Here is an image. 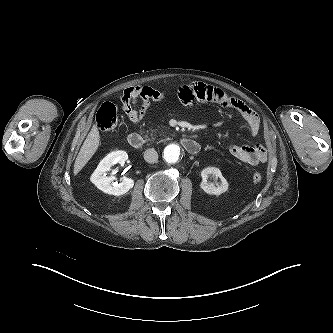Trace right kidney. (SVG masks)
<instances>
[{
	"instance_id": "ca27d5eb",
	"label": "right kidney",
	"mask_w": 333,
	"mask_h": 333,
	"mask_svg": "<svg viewBox=\"0 0 333 333\" xmlns=\"http://www.w3.org/2000/svg\"><path fill=\"white\" fill-rule=\"evenodd\" d=\"M128 159V154L125 151H114L108 154L97 166L96 170L91 175V182L104 193L120 196L128 192L134 186V180L124 177L121 183L113 182L115 177L106 176V172L116 164H124Z\"/></svg>"
}]
</instances>
